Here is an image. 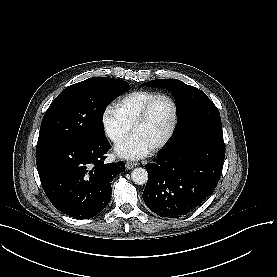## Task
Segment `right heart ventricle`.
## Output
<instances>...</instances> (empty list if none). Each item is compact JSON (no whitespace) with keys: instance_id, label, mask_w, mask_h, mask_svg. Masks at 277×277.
I'll return each instance as SVG.
<instances>
[{"instance_id":"right-heart-ventricle-1","label":"right heart ventricle","mask_w":277,"mask_h":277,"mask_svg":"<svg viewBox=\"0 0 277 277\" xmlns=\"http://www.w3.org/2000/svg\"><path fill=\"white\" fill-rule=\"evenodd\" d=\"M155 96L154 93L146 91L130 93L117 103L116 112L126 124H130L140 115L145 106Z\"/></svg>"}]
</instances>
